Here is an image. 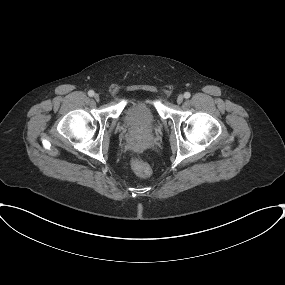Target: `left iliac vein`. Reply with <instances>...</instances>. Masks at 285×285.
I'll use <instances>...</instances> for the list:
<instances>
[{"label":"left iliac vein","mask_w":285,"mask_h":285,"mask_svg":"<svg viewBox=\"0 0 285 285\" xmlns=\"http://www.w3.org/2000/svg\"><path fill=\"white\" fill-rule=\"evenodd\" d=\"M183 99H184L183 95H179V96L177 97V103H178V104H181V103L183 102Z\"/></svg>","instance_id":"obj_1"}]
</instances>
